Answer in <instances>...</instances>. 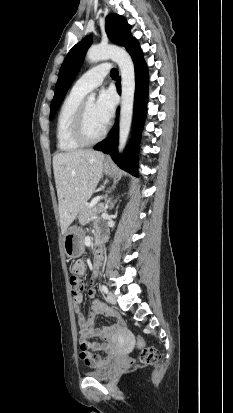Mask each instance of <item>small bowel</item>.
<instances>
[{
    "mask_svg": "<svg viewBox=\"0 0 233 413\" xmlns=\"http://www.w3.org/2000/svg\"><path fill=\"white\" fill-rule=\"evenodd\" d=\"M74 266L71 269L73 276L84 275L86 267L81 255L74 257ZM89 296L93 298L90 305V313L87 317L81 310L84 296L82 293L73 294L74 311L79 325L80 359L89 367L103 368L109 364L114 356L119 354L123 348L120 335L122 327L121 316L101 300L94 298L95 289L90 287ZM98 315L114 319L110 326L95 328V321ZM93 337L102 338L103 341L90 342ZM103 354V355H102Z\"/></svg>",
    "mask_w": 233,
    "mask_h": 413,
    "instance_id": "c3829d8e",
    "label": "small bowel"
}]
</instances>
